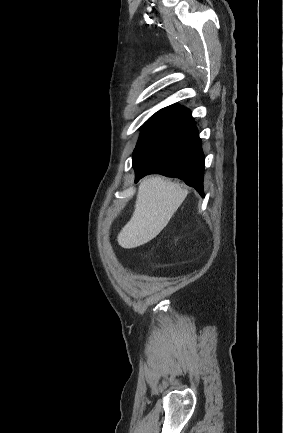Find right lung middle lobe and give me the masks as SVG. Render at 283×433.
Instances as JSON below:
<instances>
[{
    "instance_id": "right-lung-middle-lobe-1",
    "label": "right lung middle lobe",
    "mask_w": 283,
    "mask_h": 433,
    "mask_svg": "<svg viewBox=\"0 0 283 433\" xmlns=\"http://www.w3.org/2000/svg\"><path fill=\"white\" fill-rule=\"evenodd\" d=\"M159 116H160L159 114H154L148 121L145 122V124L143 125L142 128L144 129L149 123H151L153 120H155Z\"/></svg>"
}]
</instances>
